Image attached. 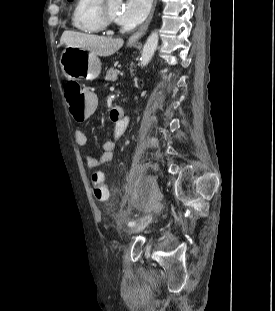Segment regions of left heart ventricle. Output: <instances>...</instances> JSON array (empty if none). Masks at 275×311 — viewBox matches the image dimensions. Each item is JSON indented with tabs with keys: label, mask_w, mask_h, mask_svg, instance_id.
<instances>
[{
	"label": "left heart ventricle",
	"mask_w": 275,
	"mask_h": 311,
	"mask_svg": "<svg viewBox=\"0 0 275 311\" xmlns=\"http://www.w3.org/2000/svg\"><path fill=\"white\" fill-rule=\"evenodd\" d=\"M122 8V3L119 0H108V9L111 15L117 19V16Z\"/></svg>",
	"instance_id": "b2bd125f"
}]
</instances>
